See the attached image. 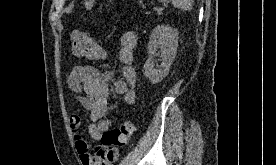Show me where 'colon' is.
I'll return each instance as SVG.
<instances>
[{"label":"colon","mask_w":276,"mask_h":165,"mask_svg":"<svg viewBox=\"0 0 276 165\" xmlns=\"http://www.w3.org/2000/svg\"><path fill=\"white\" fill-rule=\"evenodd\" d=\"M71 50L77 57L96 60L104 56L103 48L89 35L74 30L70 35ZM134 124L130 120L123 121L117 128L111 129L101 136V146L109 151L126 145L133 137Z\"/></svg>","instance_id":"colon-1"}]
</instances>
